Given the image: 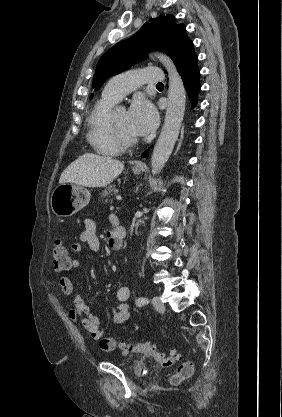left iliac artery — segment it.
<instances>
[{"instance_id":"1","label":"left iliac artery","mask_w":282,"mask_h":417,"mask_svg":"<svg viewBox=\"0 0 282 417\" xmlns=\"http://www.w3.org/2000/svg\"><path fill=\"white\" fill-rule=\"evenodd\" d=\"M148 302L149 301H148L147 298L141 297V298L137 299L136 304H137V306H143L145 304H148Z\"/></svg>"}]
</instances>
